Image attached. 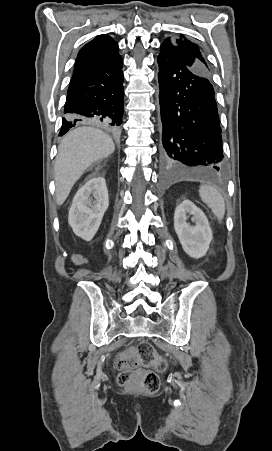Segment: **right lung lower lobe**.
I'll return each mask as SVG.
<instances>
[{
    "label": "right lung lower lobe",
    "mask_w": 272,
    "mask_h": 451,
    "mask_svg": "<svg viewBox=\"0 0 272 451\" xmlns=\"http://www.w3.org/2000/svg\"><path fill=\"white\" fill-rule=\"evenodd\" d=\"M122 58L119 53L75 66L67 91L60 136L91 123L118 133L124 113Z\"/></svg>",
    "instance_id": "right-lung-lower-lobe-1"
}]
</instances>
